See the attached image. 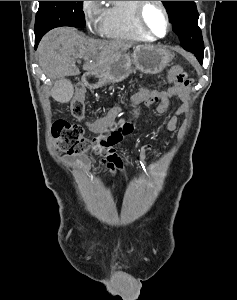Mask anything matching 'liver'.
I'll return each mask as SVG.
<instances>
[{"mask_svg":"<svg viewBox=\"0 0 237 300\" xmlns=\"http://www.w3.org/2000/svg\"><path fill=\"white\" fill-rule=\"evenodd\" d=\"M134 43L130 41H100L88 39L77 29L62 27L44 35L39 43L40 67L53 77L80 75L75 59H84L83 71H98L111 65L117 55L125 53Z\"/></svg>","mask_w":237,"mask_h":300,"instance_id":"liver-1","label":"liver"}]
</instances>
